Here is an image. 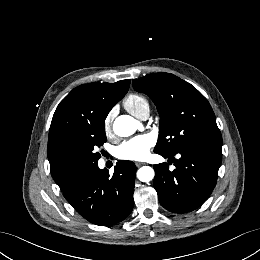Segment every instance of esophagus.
Listing matches in <instances>:
<instances>
[{
  "instance_id": "obj_1",
  "label": "esophagus",
  "mask_w": 260,
  "mask_h": 260,
  "mask_svg": "<svg viewBox=\"0 0 260 260\" xmlns=\"http://www.w3.org/2000/svg\"><path fill=\"white\" fill-rule=\"evenodd\" d=\"M144 163H142V162H135V165L137 166V167H140V166H142Z\"/></svg>"
}]
</instances>
